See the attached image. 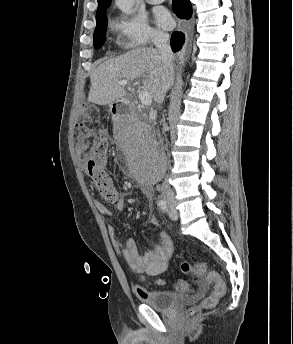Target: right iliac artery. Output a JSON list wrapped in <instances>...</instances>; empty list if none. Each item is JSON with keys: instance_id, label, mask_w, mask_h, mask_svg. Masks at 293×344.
Wrapping results in <instances>:
<instances>
[{"instance_id": "right-iliac-artery-1", "label": "right iliac artery", "mask_w": 293, "mask_h": 344, "mask_svg": "<svg viewBox=\"0 0 293 344\" xmlns=\"http://www.w3.org/2000/svg\"><path fill=\"white\" fill-rule=\"evenodd\" d=\"M158 207H159L163 212H165L166 209H167L166 201H165L164 199L158 200Z\"/></svg>"}]
</instances>
